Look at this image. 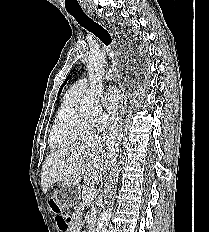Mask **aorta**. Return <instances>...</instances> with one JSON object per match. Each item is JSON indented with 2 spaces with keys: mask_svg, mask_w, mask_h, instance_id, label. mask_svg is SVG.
Masks as SVG:
<instances>
[{
  "mask_svg": "<svg viewBox=\"0 0 209 232\" xmlns=\"http://www.w3.org/2000/svg\"><path fill=\"white\" fill-rule=\"evenodd\" d=\"M105 69L104 54L99 49H92L87 59V72L89 76L90 86L86 97L82 100L81 106L88 111H96L100 107V98L103 95L102 75ZM118 182V177L114 179ZM115 191V190H114ZM110 192L108 198L109 206L100 214L97 221L96 232H106L112 215V207L114 204L115 192Z\"/></svg>",
  "mask_w": 209,
  "mask_h": 232,
  "instance_id": "762f6f07",
  "label": "aorta"
}]
</instances>
